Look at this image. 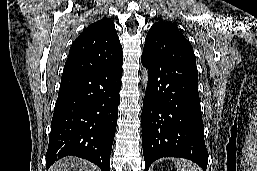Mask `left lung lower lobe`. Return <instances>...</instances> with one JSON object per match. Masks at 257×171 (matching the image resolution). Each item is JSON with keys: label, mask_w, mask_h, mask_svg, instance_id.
<instances>
[{"label": "left lung lower lobe", "mask_w": 257, "mask_h": 171, "mask_svg": "<svg viewBox=\"0 0 257 171\" xmlns=\"http://www.w3.org/2000/svg\"><path fill=\"white\" fill-rule=\"evenodd\" d=\"M148 85L142 110L145 171L162 157H182L204 171L208 152L198 93L197 68L167 53L148 55Z\"/></svg>", "instance_id": "left-lung-lower-lobe-1"}]
</instances>
